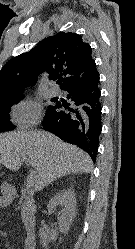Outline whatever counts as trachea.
Wrapping results in <instances>:
<instances>
[{
	"label": "trachea",
	"mask_w": 135,
	"mask_h": 249,
	"mask_svg": "<svg viewBox=\"0 0 135 249\" xmlns=\"http://www.w3.org/2000/svg\"><path fill=\"white\" fill-rule=\"evenodd\" d=\"M59 84H61L62 83V81H60V82H58Z\"/></svg>",
	"instance_id": "obj_1"
}]
</instances>
